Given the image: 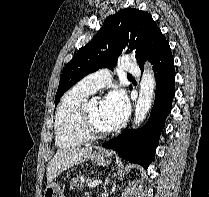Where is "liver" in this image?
Returning <instances> with one entry per match:
<instances>
[{
  "label": "liver",
  "mask_w": 209,
  "mask_h": 197,
  "mask_svg": "<svg viewBox=\"0 0 209 197\" xmlns=\"http://www.w3.org/2000/svg\"><path fill=\"white\" fill-rule=\"evenodd\" d=\"M92 147L57 150L47 165V184L68 168L83 163L90 158Z\"/></svg>",
  "instance_id": "1"
}]
</instances>
